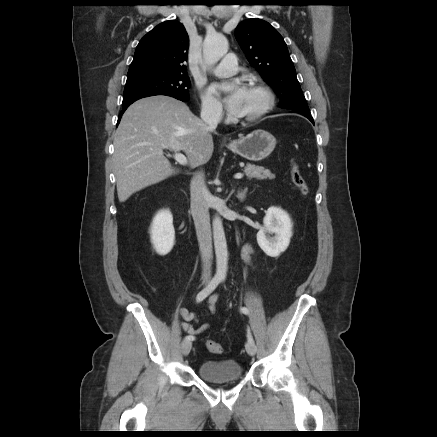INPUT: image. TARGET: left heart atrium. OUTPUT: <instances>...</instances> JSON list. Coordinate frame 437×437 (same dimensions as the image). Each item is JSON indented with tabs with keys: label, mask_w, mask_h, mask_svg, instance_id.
<instances>
[{
	"label": "left heart atrium",
	"mask_w": 437,
	"mask_h": 437,
	"mask_svg": "<svg viewBox=\"0 0 437 437\" xmlns=\"http://www.w3.org/2000/svg\"><path fill=\"white\" fill-rule=\"evenodd\" d=\"M211 89L215 92L224 94V103L229 112L236 114L239 111L246 90L244 86L239 83L215 84Z\"/></svg>",
	"instance_id": "1"
}]
</instances>
